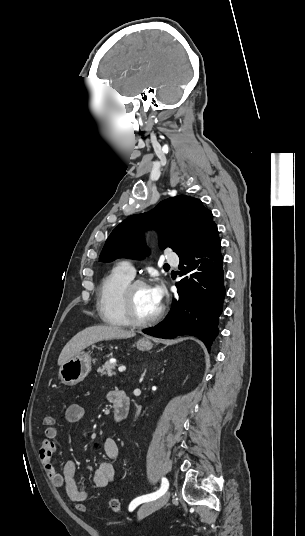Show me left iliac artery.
<instances>
[{"label": "left iliac artery", "mask_w": 305, "mask_h": 536, "mask_svg": "<svg viewBox=\"0 0 305 536\" xmlns=\"http://www.w3.org/2000/svg\"><path fill=\"white\" fill-rule=\"evenodd\" d=\"M168 488H169V482L165 477H163L161 488L158 491L152 494L143 495L141 497L136 498L135 500L131 502L129 506V510L132 511L136 506H138L141 503L149 502V501L157 499L158 497L162 496L168 490Z\"/></svg>", "instance_id": "1"}]
</instances>
